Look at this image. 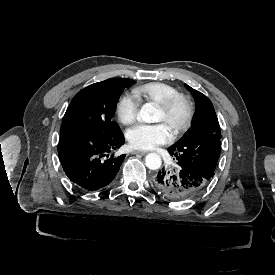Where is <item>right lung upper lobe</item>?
<instances>
[{
	"label": "right lung upper lobe",
	"mask_w": 275,
	"mask_h": 275,
	"mask_svg": "<svg viewBox=\"0 0 275 275\" xmlns=\"http://www.w3.org/2000/svg\"><path fill=\"white\" fill-rule=\"evenodd\" d=\"M129 80L130 79H127V78H110V79L102 81V82H126Z\"/></svg>",
	"instance_id": "obj_1"
}]
</instances>
